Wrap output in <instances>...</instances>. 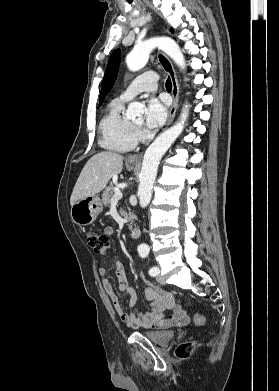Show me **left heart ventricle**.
Segmentation results:
<instances>
[{
    "label": "left heart ventricle",
    "mask_w": 279,
    "mask_h": 391,
    "mask_svg": "<svg viewBox=\"0 0 279 391\" xmlns=\"http://www.w3.org/2000/svg\"><path fill=\"white\" fill-rule=\"evenodd\" d=\"M135 123H136V124H140V123H141V120H137Z\"/></svg>",
    "instance_id": "b2bd125f"
}]
</instances>
